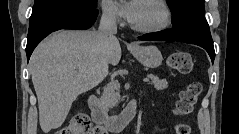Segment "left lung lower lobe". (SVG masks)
<instances>
[{"label": "left lung lower lobe", "instance_id": "obj_1", "mask_svg": "<svg viewBox=\"0 0 239 134\" xmlns=\"http://www.w3.org/2000/svg\"><path fill=\"white\" fill-rule=\"evenodd\" d=\"M146 41H180L203 47L214 62L215 51L208 22L205 17H190L170 30L139 36Z\"/></svg>", "mask_w": 239, "mask_h": 134}]
</instances>
